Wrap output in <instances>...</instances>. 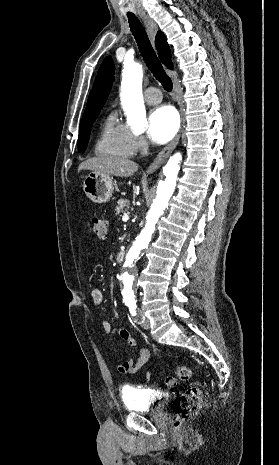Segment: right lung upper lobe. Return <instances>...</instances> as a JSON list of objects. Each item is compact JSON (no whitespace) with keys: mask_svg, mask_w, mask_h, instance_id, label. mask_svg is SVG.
Wrapping results in <instances>:
<instances>
[{"mask_svg":"<svg viewBox=\"0 0 279 465\" xmlns=\"http://www.w3.org/2000/svg\"><path fill=\"white\" fill-rule=\"evenodd\" d=\"M155 43L159 52V58L161 62L165 64L169 69H172L173 63L171 62L170 48L162 32L158 31ZM113 81L114 66L111 57H107L103 61L98 71L79 128L88 126L93 120L97 118L100 110L102 109L103 105L107 100Z\"/></svg>","mask_w":279,"mask_h":465,"instance_id":"1","label":"right lung upper lobe"}]
</instances>
